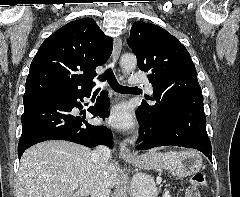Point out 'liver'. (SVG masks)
Returning <instances> with one entry per match:
<instances>
[{
  "mask_svg": "<svg viewBox=\"0 0 240 197\" xmlns=\"http://www.w3.org/2000/svg\"><path fill=\"white\" fill-rule=\"evenodd\" d=\"M92 150L68 141H46L27 149L16 178V197H87L99 175ZM109 189L117 181L115 164L108 163ZM78 184L77 189L70 187Z\"/></svg>",
  "mask_w": 240,
  "mask_h": 197,
  "instance_id": "1",
  "label": "liver"
}]
</instances>
